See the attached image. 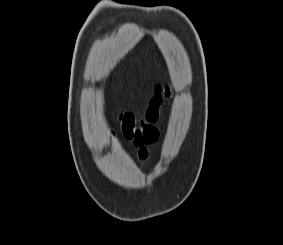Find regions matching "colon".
Wrapping results in <instances>:
<instances>
[{
  "instance_id": "obj_1",
  "label": "colon",
  "mask_w": 283,
  "mask_h": 245,
  "mask_svg": "<svg viewBox=\"0 0 283 245\" xmlns=\"http://www.w3.org/2000/svg\"><path fill=\"white\" fill-rule=\"evenodd\" d=\"M161 101V87L156 86L142 117L137 118L132 113L121 114V131L126 139L132 140L138 145L149 144L157 140L158 130L155 123L159 116Z\"/></svg>"
}]
</instances>
